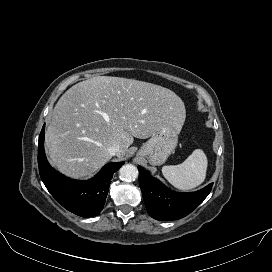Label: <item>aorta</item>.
Wrapping results in <instances>:
<instances>
[{"instance_id":"762f6f07","label":"aorta","mask_w":272,"mask_h":272,"mask_svg":"<svg viewBox=\"0 0 272 272\" xmlns=\"http://www.w3.org/2000/svg\"><path fill=\"white\" fill-rule=\"evenodd\" d=\"M120 179L131 182L137 179L138 169L132 164H125L119 170Z\"/></svg>"}]
</instances>
